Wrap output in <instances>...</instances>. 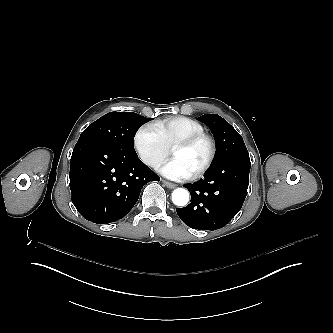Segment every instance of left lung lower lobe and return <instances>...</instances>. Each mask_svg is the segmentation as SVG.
I'll use <instances>...</instances> for the list:
<instances>
[{"label":"left lung lower lobe","instance_id":"left-lung-lower-lobe-1","mask_svg":"<svg viewBox=\"0 0 333 333\" xmlns=\"http://www.w3.org/2000/svg\"><path fill=\"white\" fill-rule=\"evenodd\" d=\"M250 167L248 153L236 154L213 165L204 179L184 185L191 192V202L176 209L180 219L194 229L224 227L243 205Z\"/></svg>","mask_w":333,"mask_h":333}]
</instances>
